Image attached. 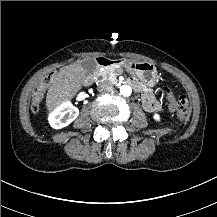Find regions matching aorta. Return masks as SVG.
<instances>
[{
  "label": "aorta",
  "mask_w": 217,
  "mask_h": 217,
  "mask_svg": "<svg viewBox=\"0 0 217 217\" xmlns=\"http://www.w3.org/2000/svg\"><path fill=\"white\" fill-rule=\"evenodd\" d=\"M120 93L123 96H130L131 93H132V89H131V87L129 85H122L120 87Z\"/></svg>",
  "instance_id": "obj_1"
}]
</instances>
